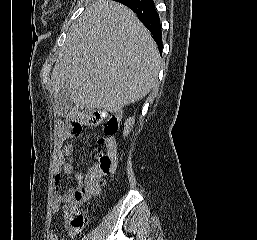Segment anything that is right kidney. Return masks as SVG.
Wrapping results in <instances>:
<instances>
[{
	"label": "right kidney",
	"instance_id": "ca27d5eb",
	"mask_svg": "<svg viewBox=\"0 0 257 240\" xmlns=\"http://www.w3.org/2000/svg\"><path fill=\"white\" fill-rule=\"evenodd\" d=\"M135 122V119L134 117H130L129 119H127V121L125 122V129H124V132H123V135L124 136H127L130 132V128L133 126Z\"/></svg>",
	"mask_w": 257,
	"mask_h": 240
}]
</instances>
